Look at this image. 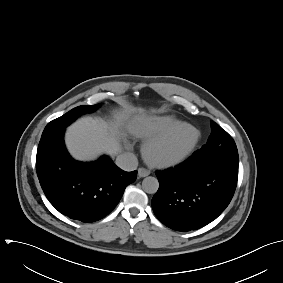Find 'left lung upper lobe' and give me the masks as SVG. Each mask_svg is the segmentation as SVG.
Wrapping results in <instances>:
<instances>
[{"label":"left lung upper lobe","mask_w":283,"mask_h":283,"mask_svg":"<svg viewBox=\"0 0 283 283\" xmlns=\"http://www.w3.org/2000/svg\"><path fill=\"white\" fill-rule=\"evenodd\" d=\"M195 158L221 159L238 163V151L230 135L214 121H211V135L207 143L194 154Z\"/></svg>","instance_id":"obj_1"}]
</instances>
